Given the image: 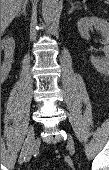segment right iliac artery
Wrapping results in <instances>:
<instances>
[{"label":"right iliac artery","instance_id":"82829eb1","mask_svg":"<svg viewBox=\"0 0 109 170\" xmlns=\"http://www.w3.org/2000/svg\"><path fill=\"white\" fill-rule=\"evenodd\" d=\"M25 152H26V144H24L21 154H20V157H19V160H18L20 164L23 163L25 160Z\"/></svg>","mask_w":109,"mask_h":170}]
</instances>
